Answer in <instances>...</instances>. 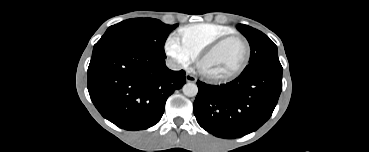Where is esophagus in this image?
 <instances>
[{
	"label": "esophagus",
	"instance_id": "obj_1",
	"mask_svg": "<svg viewBox=\"0 0 369 152\" xmlns=\"http://www.w3.org/2000/svg\"><path fill=\"white\" fill-rule=\"evenodd\" d=\"M185 78H186L187 82H196L197 81V78L194 75L189 74V73H187L185 75Z\"/></svg>",
	"mask_w": 369,
	"mask_h": 152
}]
</instances>
